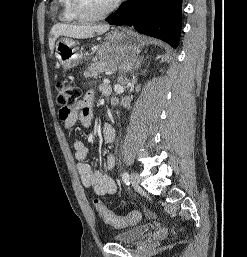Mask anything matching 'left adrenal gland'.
I'll return each instance as SVG.
<instances>
[{"mask_svg":"<svg viewBox=\"0 0 247 257\" xmlns=\"http://www.w3.org/2000/svg\"><path fill=\"white\" fill-rule=\"evenodd\" d=\"M136 67H137V68L139 67V63H137Z\"/></svg>","mask_w":247,"mask_h":257,"instance_id":"a2214340","label":"left adrenal gland"}]
</instances>
